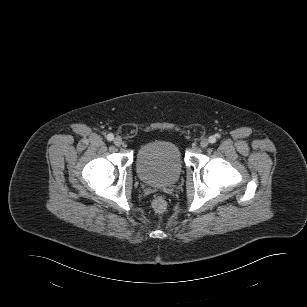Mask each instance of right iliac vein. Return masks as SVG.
Masks as SVG:
<instances>
[{"mask_svg": "<svg viewBox=\"0 0 307 307\" xmlns=\"http://www.w3.org/2000/svg\"><path fill=\"white\" fill-rule=\"evenodd\" d=\"M114 144L118 147L121 146L122 145V139L120 137L114 138Z\"/></svg>", "mask_w": 307, "mask_h": 307, "instance_id": "obj_1", "label": "right iliac vein"}]
</instances>
